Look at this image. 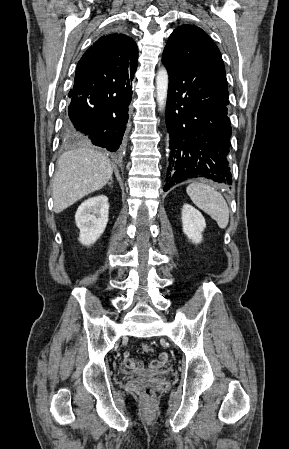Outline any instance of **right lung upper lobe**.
<instances>
[{
    "label": "right lung upper lobe",
    "mask_w": 289,
    "mask_h": 449,
    "mask_svg": "<svg viewBox=\"0 0 289 449\" xmlns=\"http://www.w3.org/2000/svg\"><path fill=\"white\" fill-rule=\"evenodd\" d=\"M138 48L132 38L113 33L100 37L79 60L75 78L107 81L136 72Z\"/></svg>",
    "instance_id": "1"
}]
</instances>
